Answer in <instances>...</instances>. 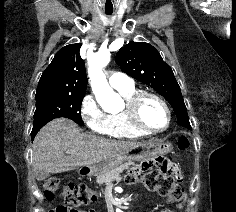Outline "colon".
Instances as JSON below:
<instances>
[{"label":"colon","instance_id":"5ec220e1","mask_svg":"<svg viewBox=\"0 0 236 212\" xmlns=\"http://www.w3.org/2000/svg\"><path fill=\"white\" fill-rule=\"evenodd\" d=\"M177 145L181 151H188L190 141L186 136H181ZM156 164L146 162L141 167L130 170L126 177L127 182L133 184L140 181L147 190L165 196L171 202L182 201L184 189L175 174L174 166L165 158L159 159ZM158 165L162 168H159ZM59 184L60 180L57 177H47L42 180L41 187L46 200L54 199ZM61 198L63 204L50 212H79V208L95 201L96 195L84 183L69 182L65 184Z\"/></svg>","mask_w":236,"mask_h":212}]
</instances>
